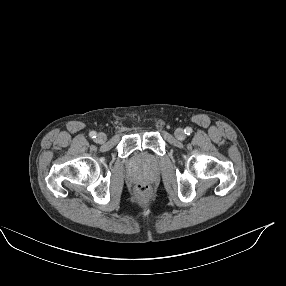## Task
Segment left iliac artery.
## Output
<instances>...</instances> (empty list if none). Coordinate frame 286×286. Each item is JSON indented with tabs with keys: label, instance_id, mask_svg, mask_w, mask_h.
I'll return each instance as SVG.
<instances>
[{
	"label": "left iliac artery",
	"instance_id": "44dca946",
	"mask_svg": "<svg viewBox=\"0 0 286 286\" xmlns=\"http://www.w3.org/2000/svg\"><path fill=\"white\" fill-rule=\"evenodd\" d=\"M184 132H185V134L190 135V134L192 133V128L186 127V128L184 129Z\"/></svg>",
	"mask_w": 286,
	"mask_h": 286
}]
</instances>
